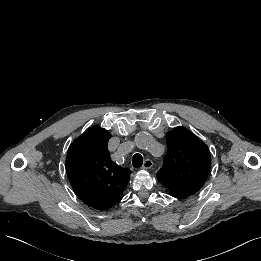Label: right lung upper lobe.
<instances>
[{
  "mask_svg": "<svg viewBox=\"0 0 261 261\" xmlns=\"http://www.w3.org/2000/svg\"><path fill=\"white\" fill-rule=\"evenodd\" d=\"M111 135L91 127L70 145L66 171L76 194L88 206L107 210L122 199L131 171L114 163L107 148Z\"/></svg>",
  "mask_w": 261,
  "mask_h": 261,
  "instance_id": "right-lung-upper-lobe-1",
  "label": "right lung upper lobe"
}]
</instances>
